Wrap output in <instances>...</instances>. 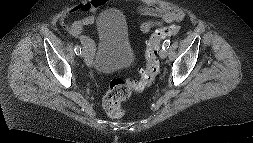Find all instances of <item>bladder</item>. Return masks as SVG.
<instances>
[{"label": "bladder", "mask_w": 253, "mask_h": 143, "mask_svg": "<svg viewBox=\"0 0 253 143\" xmlns=\"http://www.w3.org/2000/svg\"><path fill=\"white\" fill-rule=\"evenodd\" d=\"M97 46L92 67L101 73H109L133 63L137 50L131 44L125 15L119 8H108L98 16Z\"/></svg>", "instance_id": "31cf9c89"}]
</instances>
